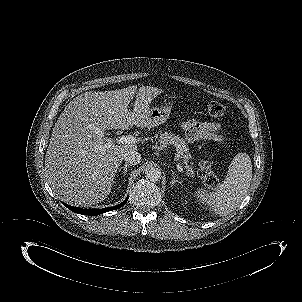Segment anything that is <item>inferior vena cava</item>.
Returning <instances> with one entry per match:
<instances>
[{
  "mask_svg": "<svg viewBox=\"0 0 302 302\" xmlns=\"http://www.w3.org/2000/svg\"><path fill=\"white\" fill-rule=\"evenodd\" d=\"M123 159L131 165H136L138 163H140L142 157L141 154L139 152H137L136 150H127L124 154H123Z\"/></svg>",
  "mask_w": 302,
  "mask_h": 302,
  "instance_id": "1",
  "label": "inferior vena cava"
}]
</instances>
